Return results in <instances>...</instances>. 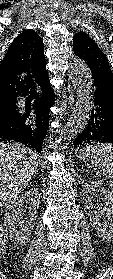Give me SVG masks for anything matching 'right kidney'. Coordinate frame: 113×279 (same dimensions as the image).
<instances>
[{
	"instance_id": "ca27d5eb",
	"label": "right kidney",
	"mask_w": 113,
	"mask_h": 279,
	"mask_svg": "<svg viewBox=\"0 0 113 279\" xmlns=\"http://www.w3.org/2000/svg\"><path fill=\"white\" fill-rule=\"evenodd\" d=\"M30 203L29 218L21 220L23 204ZM40 204V192L37 188L22 193L6 209L4 217V231L9 233L10 240L15 245H24L31 235L34 222L37 218L38 207Z\"/></svg>"
}]
</instances>
